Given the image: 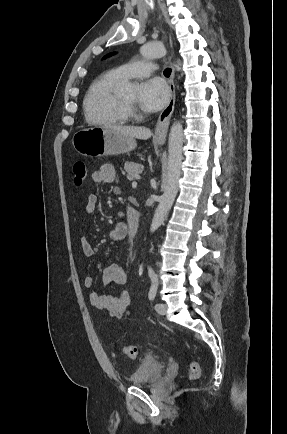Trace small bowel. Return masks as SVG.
<instances>
[{
  "label": "small bowel",
  "mask_w": 287,
  "mask_h": 434,
  "mask_svg": "<svg viewBox=\"0 0 287 434\" xmlns=\"http://www.w3.org/2000/svg\"><path fill=\"white\" fill-rule=\"evenodd\" d=\"M91 180L96 185L112 184L116 180V170L111 164H103L98 170L92 172ZM97 207L98 197L89 195L84 206L85 213L93 215ZM109 235L114 241L123 240L128 235L126 223L117 224ZM81 249L86 258H91L94 255L93 246L87 238L81 240ZM127 280V272L119 263L110 264L103 272V282L107 285H121L125 284ZM93 285L94 279L91 276H86L83 279L84 288L91 289ZM89 299L94 308L107 311L113 317H122L127 314L132 304V297L127 291H121L117 295L92 292Z\"/></svg>",
  "instance_id": "1"
}]
</instances>
